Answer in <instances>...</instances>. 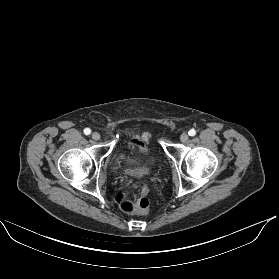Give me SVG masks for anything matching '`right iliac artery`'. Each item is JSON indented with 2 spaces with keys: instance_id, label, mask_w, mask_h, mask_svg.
Instances as JSON below:
<instances>
[{
  "instance_id": "right-iliac-artery-1",
  "label": "right iliac artery",
  "mask_w": 279,
  "mask_h": 279,
  "mask_svg": "<svg viewBox=\"0 0 279 279\" xmlns=\"http://www.w3.org/2000/svg\"><path fill=\"white\" fill-rule=\"evenodd\" d=\"M91 133V130L89 128L84 129V134L89 135Z\"/></svg>"
}]
</instances>
